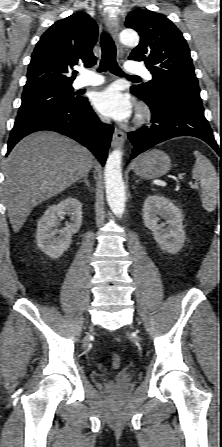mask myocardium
Returning a JSON list of instances; mask_svg holds the SVG:
<instances>
[{
	"mask_svg": "<svg viewBox=\"0 0 222 447\" xmlns=\"http://www.w3.org/2000/svg\"><path fill=\"white\" fill-rule=\"evenodd\" d=\"M146 116H147V114L145 112H142L140 114V120H143Z\"/></svg>",
	"mask_w": 222,
	"mask_h": 447,
	"instance_id": "f54148a6",
	"label": "myocardium"
}]
</instances>
